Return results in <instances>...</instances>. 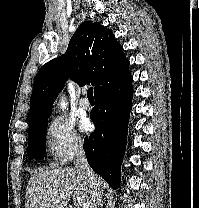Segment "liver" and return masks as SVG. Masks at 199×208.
<instances>
[{"label": "liver", "instance_id": "obj_1", "mask_svg": "<svg viewBox=\"0 0 199 208\" xmlns=\"http://www.w3.org/2000/svg\"><path fill=\"white\" fill-rule=\"evenodd\" d=\"M96 177L102 192L106 183ZM89 196L88 180L76 168H41L30 177L25 207L65 208L72 197L75 208H83Z\"/></svg>", "mask_w": 199, "mask_h": 208}]
</instances>
